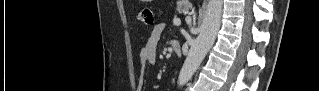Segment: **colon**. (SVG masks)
<instances>
[{
  "instance_id": "colon-1",
  "label": "colon",
  "mask_w": 319,
  "mask_h": 91,
  "mask_svg": "<svg viewBox=\"0 0 319 91\" xmlns=\"http://www.w3.org/2000/svg\"><path fill=\"white\" fill-rule=\"evenodd\" d=\"M138 19L147 26H152L155 23L153 11L149 7H144L139 10Z\"/></svg>"
}]
</instances>
